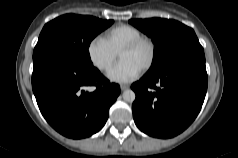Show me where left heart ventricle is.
I'll return each instance as SVG.
<instances>
[{
	"label": "left heart ventricle",
	"mask_w": 238,
	"mask_h": 158,
	"mask_svg": "<svg viewBox=\"0 0 238 158\" xmlns=\"http://www.w3.org/2000/svg\"><path fill=\"white\" fill-rule=\"evenodd\" d=\"M150 54V49L147 44H141L134 50L125 51L120 54V59L130 61L138 67L142 68L147 62Z\"/></svg>",
	"instance_id": "b2bd125f"
}]
</instances>
